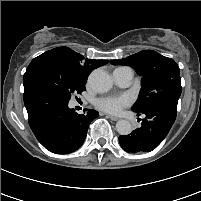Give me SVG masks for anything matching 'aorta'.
<instances>
[{"mask_svg": "<svg viewBox=\"0 0 201 201\" xmlns=\"http://www.w3.org/2000/svg\"><path fill=\"white\" fill-rule=\"evenodd\" d=\"M88 83L90 87L98 93H105L112 87L110 75L101 69H96L91 72ZM116 130L120 135H128L132 132V125L128 120H119L116 123Z\"/></svg>", "mask_w": 201, "mask_h": 201, "instance_id": "1", "label": "aorta"}]
</instances>
